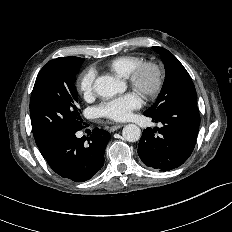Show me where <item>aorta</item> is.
<instances>
[{
    "instance_id": "obj_1",
    "label": "aorta",
    "mask_w": 232,
    "mask_h": 232,
    "mask_svg": "<svg viewBox=\"0 0 232 232\" xmlns=\"http://www.w3.org/2000/svg\"><path fill=\"white\" fill-rule=\"evenodd\" d=\"M95 92L102 97H111L125 90V83L111 76L98 77L93 85ZM123 138L129 142H136L141 137V130L135 124H128L122 130Z\"/></svg>"
}]
</instances>
